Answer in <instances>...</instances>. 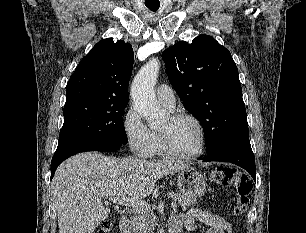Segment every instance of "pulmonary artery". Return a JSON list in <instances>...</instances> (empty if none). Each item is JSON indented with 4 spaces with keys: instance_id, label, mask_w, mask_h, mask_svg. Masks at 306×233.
Here are the masks:
<instances>
[{
    "instance_id": "obj_1",
    "label": "pulmonary artery",
    "mask_w": 306,
    "mask_h": 233,
    "mask_svg": "<svg viewBox=\"0 0 306 233\" xmlns=\"http://www.w3.org/2000/svg\"><path fill=\"white\" fill-rule=\"evenodd\" d=\"M158 101L168 109H173L175 105V95L172 88L167 84H162L156 89Z\"/></svg>"
}]
</instances>
